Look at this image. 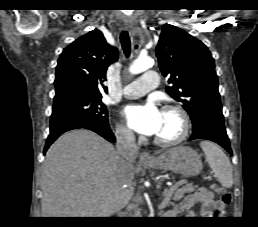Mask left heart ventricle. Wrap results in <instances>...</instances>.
<instances>
[{
  "label": "left heart ventricle",
  "instance_id": "b2bd125f",
  "mask_svg": "<svg viewBox=\"0 0 258 227\" xmlns=\"http://www.w3.org/2000/svg\"><path fill=\"white\" fill-rule=\"evenodd\" d=\"M181 131V121L173 112H162L161 121L155 136L162 139L175 138Z\"/></svg>",
  "mask_w": 258,
  "mask_h": 227
}]
</instances>
